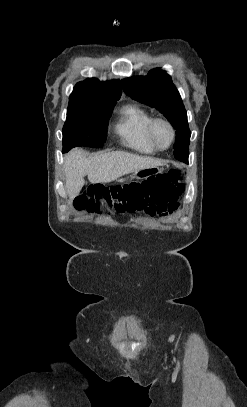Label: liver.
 <instances>
[{
  "label": "liver",
  "instance_id": "liver-1",
  "mask_svg": "<svg viewBox=\"0 0 247 407\" xmlns=\"http://www.w3.org/2000/svg\"><path fill=\"white\" fill-rule=\"evenodd\" d=\"M164 164V161L142 157L123 151L100 153L87 157L81 149H74L65 156L66 188L73 200L84 186V176L92 184L108 183L132 172Z\"/></svg>",
  "mask_w": 247,
  "mask_h": 407
}]
</instances>
